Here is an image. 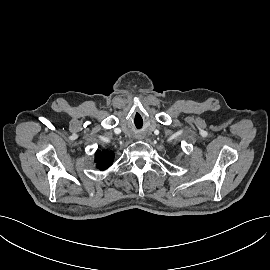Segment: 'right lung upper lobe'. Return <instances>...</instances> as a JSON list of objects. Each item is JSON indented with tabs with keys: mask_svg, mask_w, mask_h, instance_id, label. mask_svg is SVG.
Returning <instances> with one entry per match:
<instances>
[{
	"mask_svg": "<svg viewBox=\"0 0 270 270\" xmlns=\"http://www.w3.org/2000/svg\"><path fill=\"white\" fill-rule=\"evenodd\" d=\"M114 153L112 151H100L95 153L96 167L100 170H105L113 163Z\"/></svg>",
	"mask_w": 270,
	"mask_h": 270,
	"instance_id": "cb5924a9",
	"label": "right lung upper lobe"
}]
</instances>
